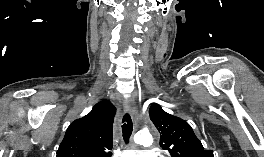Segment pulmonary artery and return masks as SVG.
Segmentation results:
<instances>
[{"label":"pulmonary artery","instance_id":"obj_1","mask_svg":"<svg viewBox=\"0 0 264 157\" xmlns=\"http://www.w3.org/2000/svg\"><path fill=\"white\" fill-rule=\"evenodd\" d=\"M121 157H157L155 153L151 150H143V151H127L124 152Z\"/></svg>","mask_w":264,"mask_h":157}]
</instances>
